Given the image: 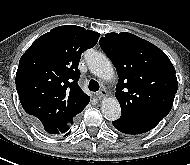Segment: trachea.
Listing matches in <instances>:
<instances>
[{"mask_svg":"<svg viewBox=\"0 0 190 165\" xmlns=\"http://www.w3.org/2000/svg\"><path fill=\"white\" fill-rule=\"evenodd\" d=\"M99 83L95 80H90L89 82V90L90 91H93V92H96L99 90Z\"/></svg>","mask_w":190,"mask_h":165,"instance_id":"trachea-1","label":"trachea"}]
</instances>
